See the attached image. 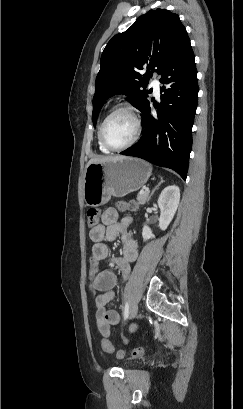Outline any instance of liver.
Segmentation results:
<instances>
[{
    "mask_svg": "<svg viewBox=\"0 0 243 409\" xmlns=\"http://www.w3.org/2000/svg\"><path fill=\"white\" fill-rule=\"evenodd\" d=\"M120 157V156H119ZM119 157H97V158H93L91 159L88 164L90 163H98V162H106V161H110Z\"/></svg>",
    "mask_w": 243,
    "mask_h": 409,
    "instance_id": "1",
    "label": "liver"
}]
</instances>
